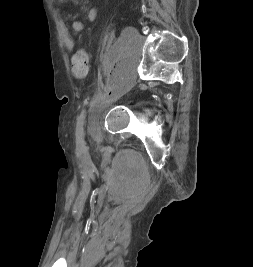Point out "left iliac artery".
<instances>
[{"label": "left iliac artery", "instance_id": "1", "mask_svg": "<svg viewBox=\"0 0 253 267\" xmlns=\"http://www.w3.org/2000/svg\"><path fill=\"white\" fill-rule=\"evenodd\" d=\"M85 117H86V110H82L76 124V136L81 141L83 140Z\"/></svg>", "mask_w": 253, "mask_h": 267}]
</instances>
